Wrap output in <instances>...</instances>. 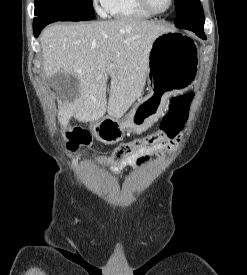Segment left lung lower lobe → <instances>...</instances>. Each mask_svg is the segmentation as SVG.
Listing matches in <instances>:
<instances>
[{
    "mask_svg": "<svg viewBox=\"0 0 247 275\" xmlns=\"http://www.w3.org/2000/svg\"><path fill=\"white\" fill-rule=\"evenodd\" d=\"M193 31L198 37L206 39L203 29L183 28Z\"/></svg>",
    "mask_w": 247,
    "mask_h": 275,
    "instance_id": "obj_1",
    "label": "left lung lower lobe"
}]
</instances>
